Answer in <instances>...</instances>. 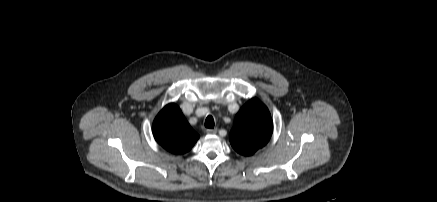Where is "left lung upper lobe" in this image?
I'll list each match as a JSON object with an SVG mask.
<instances>
[{
	"instance_id": "5c2ea615",
	"label": "left lung upper lobe",
	"mask_w": 437,
	"mask_h": 202,
	"mask_svg": "<svg viewBox=\"0 0 437 202\" xmlns=\"http://www.w3.org/2000/svg\"><path fill=\"white\" fill-rule=\"evenodd\" d=\"M272 132L269 110L259 99L253 98L235 116L230 142L239 154L251 156L268 143Z\"/></svg>"
}]
</instances>
